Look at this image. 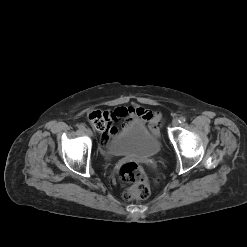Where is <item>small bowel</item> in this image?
<instances>
[{
	"label": "small bowel",
	"mask_w": 247,
	"mask_h": 247,
	"mask_svg": "<svg viewBox=\"0 0 247 247\" xmlns=\"http://www.w3.org/2000/svg\"><path fill=\"white\" fill-rule=\"evenodd\" d=\"M107 116L108 125L105 131L104 141L108 137H113L117 134L118 129L116 123L120 120H128L126 126L134 123L149 125L153 134L158 135L162 122V114L157 111H151L138 106L118 107L114 111L103 112Z\"/></svg>",
	"instance_id": "small-bowel-1"
}]
</instances>
